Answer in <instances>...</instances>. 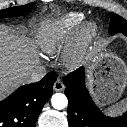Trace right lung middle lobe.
<instances>
[{"label": "right lung middle lobe", "mask_w": 127, "mask_h": 127, "mask_svg": "<svg viewBox=\"0 0 127 127\" xmlns=\"http://www.w3.org/2000/svg\"><path fill=\"white\" fill-rule=\"evenodd\" d=\"M33 8V3H29L23 6L11 7L5 10H0V18L7 16H21L28 13Z\"/></svg>", "instance_id": "dd1d6c3e"}]
</instances>
